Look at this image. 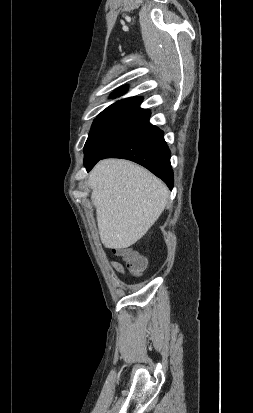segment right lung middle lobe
Here are the masks:
<instances>
[{
    "label": "right lung middle lobe",
    "instance_id": "obj_1",
    "mask_svg": "<svg viewBox=\"0 0 253 413\" xmlns=\"http://www.w3.org/2000/svg\"><path fill=\"white\" fill-rule=\"evenodd\" d=\"M148 122V117L130 115L98 116L84 146V162L99 159Z\"/></svg>",
    "mask_w": 253,
    "mask_h": 413
}]
</instances>
